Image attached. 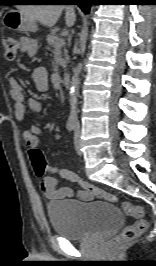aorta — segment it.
I'll return each mask as SVG.
<instances>
[{"label": "aorta", "instance_id": "762f6f07", "mask_svg": "<svg viewBox=\"0 0 156 266\" xmlns=\"http://www.w3.org/2000/svg\"><path fill=\"white\" fill-rule=\"evenodd\" d=\"M83 65L79 63L74 70L71 82H70V90H69V102H70V113L71 115L77 114V105H78V90L80 79L79 75L82 72Z\"/></svg>", "mask_w": 156, "mask_h": 266}]
</instances>
